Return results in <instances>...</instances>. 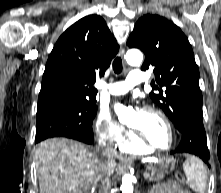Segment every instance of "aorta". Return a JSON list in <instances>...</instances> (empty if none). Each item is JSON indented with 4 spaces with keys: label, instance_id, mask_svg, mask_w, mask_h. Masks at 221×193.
<instances>
[{
    "label": "aorta",
    "instance_id": "1",
    "mask_svg": "<svg viewBox=\"0 0 221 193\" xmlns=\"http://www.w3.org/2000/svg\"><path fill=\"white\" fill-rule=\"evenodd\" d=\"M125 58L129 65L140 66L143 61V54L138 49H131L127 51ZM114 110L120 121H122L126 116L130 115L132 112L131 108L125 107L119 103L115 104ZM121 189L122 193H133L132 177L130 175L125 174L123 176Z\"/></svg>",
    "mask_w": 221,
    "mask_h": 193
}]
</instances>
